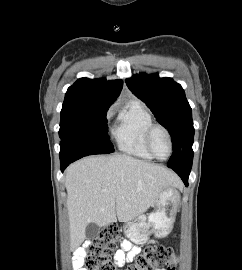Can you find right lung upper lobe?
<instances>
[{
  "instance_id": "right-lung-upper-lobe-1",
  "label": "right lung upper lobe",
  "mask_w": 242,
  "mask_h": 270,
  "mask_svg": "<svg viewBox=\"0 0 242 270\" xmlns=\"http://www.w3.org/2000/svg\"><path fill=\"white\" fill-rule=\"evenodd\" d=\"M123 82L106 79H78L68 88L62 110H95L109 108L119 96Z\"/></svg>"
}]
</instances>
